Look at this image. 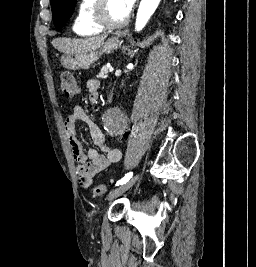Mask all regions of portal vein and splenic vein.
<instances>
[{
    "label": "portal vein and splenic vein",
    "mask_w": 256,
    "mask_h": 267,
    "mask_svg": "<svg viewBox=\"0 0 256 267\" xmlns=\"http://www.w3.org/2000/svg\"><path fill=\"white\" fill-rule=\"evenodd\" d=\"M108 71L112 72L110 64H107Z\"/></svg>",
    "instance_id": "1"
}]
</instances>
